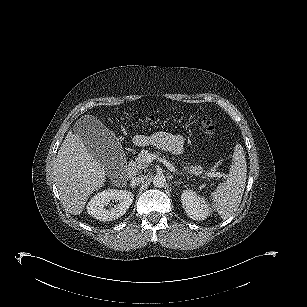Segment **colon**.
<instances>
[{
  "instance_id": "1",
  "label": "colon",
  "mask_w": 307,
  "mask_h": 307,
  "mask_svg": "<svg viewBox=\"0 0 307 307\" xmlns=\"http://www.w3.org/2000/svg\"><path fill=\"white\" fill-rule=\"evenodd\" d=\"M201 123H202L207 135H212L214 133L215 125H214V123H213V121L211 120L210 117L203 116L201 118Z\"/></svg>"
}]
</instances>
